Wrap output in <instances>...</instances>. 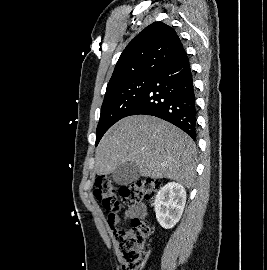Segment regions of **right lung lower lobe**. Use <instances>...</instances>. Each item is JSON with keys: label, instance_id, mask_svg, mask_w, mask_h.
<instances>
[{"label": "right lung lower lobe", "instance_id": "1", "mask_svg": "<svg viewBox=\"0 0 267 270\" xmlns=\"http://www.w3.org/2000/svg\"><path fill=\"white\" fill-rule=\"evenodd\" d=\"M137 114L164 119L196 139L193 79L183 47L155 73L146 93L127 116Z\"/></svg>", "mask_w": 267, "mask_h": 270}]
</instances>
